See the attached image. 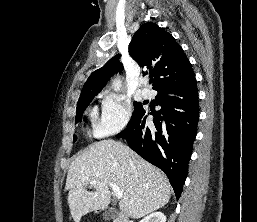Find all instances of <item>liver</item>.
<instances>
[{
  "mask_svg": "<svg viewBox=\"0 0 257 222\" xmlns=\"http://www.w3.org/2000/svg\"><path fill=\"white\" fill-rule=\"evenodd\" d=\"M92 180L97 184L89 192L86 188ZM110 182L123 191L120 209L134 219L156 211L170 200L171 186L161 170L129 147L111 139L102 140L75 158L67 173L65 190L69 191L68 204L75 222L109 205Z\"/></svg>",
  "mask_w": 257,
  "mask_h": 222,
  "instance_id": "obj_1",
  "label": "liver"
}]
</instances>
